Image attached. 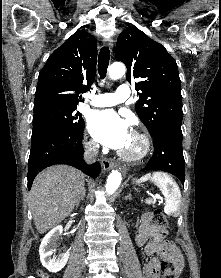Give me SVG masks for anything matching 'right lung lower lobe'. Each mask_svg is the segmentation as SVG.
I'll return each mask as SVG.
<instances>
[{"mask_svg": "<svg viewBox=\"0 0 221 278\" xmlns=\"http://www.w3.org/2000/svg\"><path fill=\"white\" fill-rule=\"evenodd\" d=\"M84 129V128H83ZM83 129L75 132H52L32 140L28 160V190L36 175L53 164H68L81 169L91 177L101 171L98 162L87 165L83 160Z\"/></svg>", "mask_w": 221, "mask_h": 278, "instance_id": "obj_1", "label": "right lung lower lobe"}]
</instances>
